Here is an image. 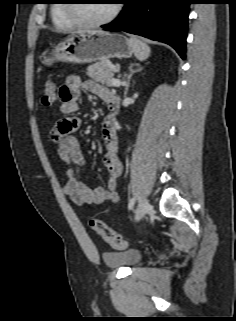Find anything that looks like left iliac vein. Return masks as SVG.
<instances>
[{
    "label": "left iliac vein",
    "instance_id": "left-iliac-vein-1",
    "mask_svg": "<svg viewBox=\"0 0 236 321\" xmlns=\"http://www.w3.org/2000/svg\"><path fill=\"white\" fill-rule=\"evenodd\" d=\"M150 209V205L147 199L143 198L139 205L138 208L136 209L135 212V220L139 221L140 219H142L144 217V215L149 211Z\"/></svg>",
    "mask_w": 236,
    "mask_h": 321
}]
</instances>
